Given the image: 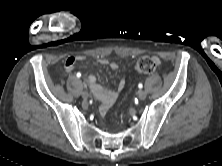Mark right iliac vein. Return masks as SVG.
Segmentation results:
<instances>
[{
	"label": "right iliac vein",
	"mask_w": 222,
	"mask_h": 166,
	"mask_svg": "<svg viewBox=\"0 0 222 166\" xmlns=\"http://www.w3.org/2000/svg\"><path fill=\"white\" fill-rule=\"evenodd\" d=\"M88 97H89V93H88L87 91H83V92H82V98L85 99V100H87Z\"/></svg>",
	"instance_id": "obj_1"
}]
</instances>
